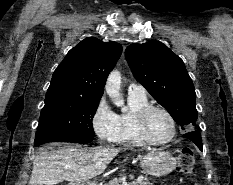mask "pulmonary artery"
<instances>
[{
    "instance_id": "pulmonary-artery-1",
    "label": "pulmonary artery",
    "mask_w": 233,
    "mask_h": 185,
    "mask_svg": "<svg viewBox=\"0 0 233 185\" xmlns=\"http://www.w3.org/2000/svg\"><path fill=\"white\" fill-rule=\"evenodd\" d=\"M128 94L129 95H146V91L143 86L136 84V83H131L128 86Z\"/></svg>"
}]
</instances>
